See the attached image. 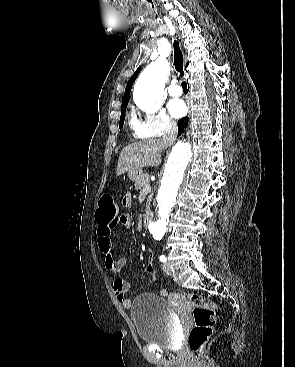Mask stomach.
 <instances>
[{"instance_id": "0dacf381", "label": "stomach", "mask_w": 295, "mask_h": 367, "mask_svg": "<svg viewBox=\"0 0 295 367\" xmlns=\"http://www.w3.org/2000/svg\"><path fill=\"white\" fill-rule=\"evenodd\" d=\"M128 176L133 182H137L142 177V169L131 170L128 172Z\"/></svg>"}]
</instances>
